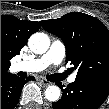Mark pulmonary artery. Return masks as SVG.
<instances>
[{
  "label": "pulmonary artery",
  "instance_id": "e3ab8cb5",
  "mask_svg": "<svg viewBox=\"0 0 109 109\" xmlns=\"http://www.w3.org/2000/svg\"><path fill=\"white\" fill-rule=\"evenodd\" d=\"M65 47L60 41H54L47 53L39 58L20 62L14 65L16 71L25 70L29 72H39L44 70L50 64L60 63L65 56ZM76 79V75H71L68 82L72 83Z\"/></svg>",
  "mask_w": 109,
  "mask_h": 109
}]
</instances>
